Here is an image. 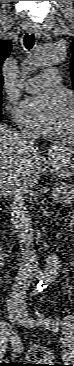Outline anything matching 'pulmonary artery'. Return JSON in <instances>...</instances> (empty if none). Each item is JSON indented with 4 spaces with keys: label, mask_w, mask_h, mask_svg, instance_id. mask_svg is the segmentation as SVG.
Here are the masks:
<instances>
[{
    "label": "pulmonary artery",
    "mask_w": 74,
    "mask_h": 366,
    "mask_svg": "<svg viewBox=\"0 0 74 366\" xmlns=\"http://www.w3.org/2000/svg\"><path fill=\"white\" fill-rule=\"evenodd\" d=\"M61 81V74L58 69H51L42 74L30 78L24 84V89L30 93H39L51 87H56Z\"/></svg>",
    "instance_id": "obj_1"
}]
</instances>
